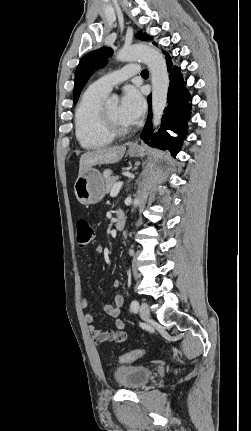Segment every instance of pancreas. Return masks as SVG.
<instances>
[{"label":"pancreas","mask_w":251,"mask_h":431,"mask_svg":"<svg viewBox=\"0 0 251 431\" xmlns=\"http://www.w3.org/2000/svg\"><path fill=\"white\" fill-rule=\"evenodd\" d=\"M110 175H111V171H105L104 179H105V190L107 193L111 192L113 186L117 181V177L110 176Z\"/></svg>","instance_id":"pancreas-1"}]
</instances>
